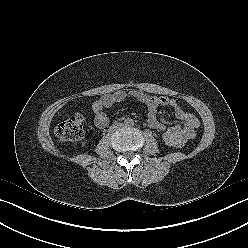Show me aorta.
I'll return each mask as SVG.
<instances>
[{
    "label": "aorta",
    "mask_w": 248,
    "mask_h": 248,
    "mask_svg": "<svg viewBox=\"0 0 248 248\" xmlns=\"http://www.w3.org/2000/svg\"><path fill=\"white\" fill-rule=\"evenodd\" d=\"M125 125L126 126H133L134 125V121L132 119H126L125 120Z\"/></svg>",
    "instance_id": "762f6f07"
}]
</instances>
